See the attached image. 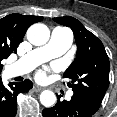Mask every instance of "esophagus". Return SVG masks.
I'll use <instances>...</instances> for the list:
<instances>
[{
	"label": "esophagus",
	"instance_id": "34e87169",
	"mask_svg": "<svg viewBox=\"0 0 117 117\" xmlns=\"http://www.w3.org/2000/svg\"><path fill=\"white\" fill-rule=\"evenodd\" d=\"M33 89H34L35 92H40V91L43 90V88L39 87V86H34Z\"/></svg>",
	"mask_w": 117,
	"mask_h": 117
}]
</instances>
